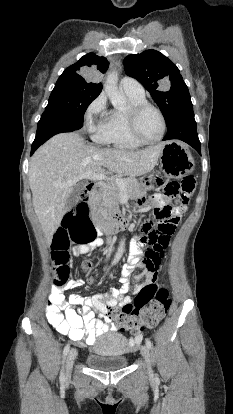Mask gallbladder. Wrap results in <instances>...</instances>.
<instances>
[{"mask_svg":"<svg viewBox=\"0 0 233 414\" xmlns=\"http://www.w3.org/2000/svg\"><path fill=\"white\" fill-rule=\"evenodd\" d=\"M84 186H85V183L80 182V183L76 184L73 187V190H72V192H71V194L68 197L67 202H66V210L67 211L71 210L77 204V202L79 200V198H78L79 193L84 188Z\"/></svg>","mask_w":233,"mask_h":414,"instance_id":"gallbladder-1","label":"gallbladder"}]
</instances>
